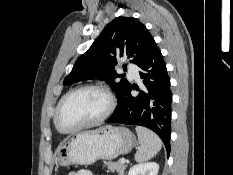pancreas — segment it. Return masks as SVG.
Segmentation results:
<instances>
[{
  "label": "pancreas",
  "instance_id": "obj_1",
  "mask_svg": "<svg viewBox=\"0 0 233 175\" xmlns=\"http://www.w3.org/2000/svg\"><path fill=\"white\" fill-rule=\"evenodd\" d=\"M104 165L107 166L111 172L116 171L118 175H124L126 169L124 164H121L120 162L104 161Z\"/></svg>",
  "mask_w": 233,
  "mask_h": 175
}]
</instances>
